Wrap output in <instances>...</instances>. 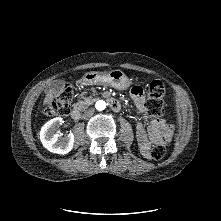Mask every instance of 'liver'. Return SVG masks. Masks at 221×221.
Wrapping results in <instances>:
<instances>
[{"mask_svg":"<svg viewBox=\"0 0 221 221\" xmlns=\"http://www.w3.org/2000/svg\"><path fill=\"white\" fill-rule=\"evenodd\" d=\"M58 95V91L55 88L48 90L46 97L44 98V105L49 104Z\"/></svg>","mask_w":221,"mask_h":221,"instance_id":"1","label":"liver"}]
</instances>
